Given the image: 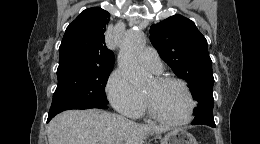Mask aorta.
Masks as SVG:
<instances>
[{
  "label": "aorta",
  "mask_w": 260,
  "mask_h": 144,
  "mask_svg": "<svg viewBox=\"0 0 260 144\" xmlns=\"http://www.w3.org/2000/svg\"><path fill=\"white\" fill-rule=\"evenodd\" d=\"M118 66L122 74L133 85H141L149 77L138 63V56L144 47V35L141 31L130 29L120 39Z\"/></svg>",
  "instance_id": "1"
}]
</instances>
